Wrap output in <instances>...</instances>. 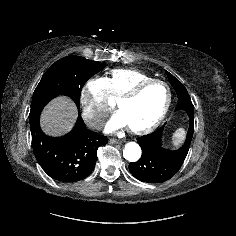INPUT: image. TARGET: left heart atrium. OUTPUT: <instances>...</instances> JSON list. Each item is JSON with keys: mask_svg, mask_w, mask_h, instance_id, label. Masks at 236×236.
I'll list each match as a JSON object with an SVG mask.
<instances>
[{"mask_svg": "<svg viewBox=\"0 0 236 236\" xmlns=\"http://www.w3.org/2000/svg\"><path fill=\"white\" fill-rule=\"evenodd\" d=\"M128 126L125 117L119 112L115 114L105 125L106 133H114L117 130Z\"/></svg>", "mask_w": 236, "mask_h": 236, "instance_id": "39dd6f15", "label": "left heart atrium"}]
</instances>
